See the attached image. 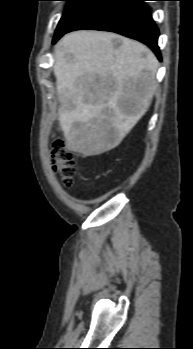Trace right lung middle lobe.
I'll return each mask as SVG.
<instances>
[{
    "instance_id": "obj_1",
    "label": "right lung middle lobe",
    "mask_w": 193,
    "mask_h": 349,
    "mask_svg": "<svg viewBox=\"0 0 193 349\" xmlns=\"http://www.w3.org/2000/svg\"><path fill=\"white\" fill-rule=\"evenodd\" d=\"M68 2L62 18L57 26L55 36L63 34L73 26L80 18L103 0H65Z\"/></svg>"
}]
</instances>
